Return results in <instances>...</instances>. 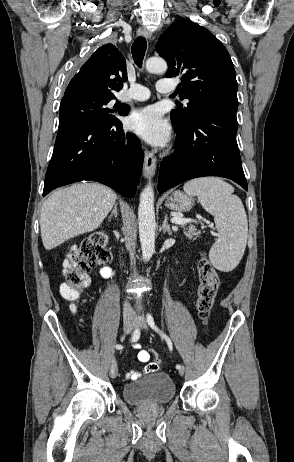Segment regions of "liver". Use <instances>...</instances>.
Instances as JSON below:
<instances>
[{
  "label": "liver",
  "instance_id": "1",
  "mask_svg": "<svg viewBox=\"0 0 294 462\" xmlns=\"http://www.w3.org/2000/svg\"><path fill=\"white\" fill-rule=\"evenodd\" d=\"M116 198L112 189L97 183L77 184L55 191L41 209L40 228L45 249L51 250L97 229Z\"/></svg>",
  "mask_w": 294,
  "mask_h": 462
}]
</instances>
